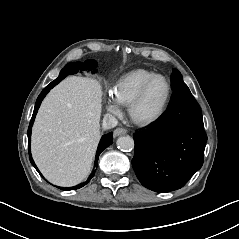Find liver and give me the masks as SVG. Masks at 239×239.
<instances>
[{
    "label": "liver",
    "instance_id": "1",
    "mask_svg": "<svg viewBox=\"0 0 239 239\" xmlns=\"http://www.w3.org/2000/svg\"><path fill=\"white\" fill-rule=\"evenodd\" d=\"M97 84L69 77L43 101L32 131L33 158L52 183L72 186L91 169L100 138Z\"/></svg>",
    "mask_w": 239,
    "mask_h": 239
}]
</instances>
